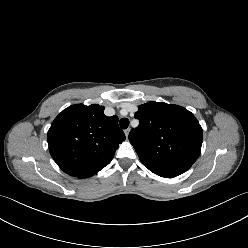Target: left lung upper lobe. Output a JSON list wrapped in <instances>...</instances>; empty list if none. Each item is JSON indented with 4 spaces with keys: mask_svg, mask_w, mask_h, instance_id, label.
<instances>
[{
    "mask_svg": "<svg viewBox=\"0 0 248 248\" xmlns=\"http://www.w3.org/2000/svg\"><path fill=\"white\" fill-rule=\"evenodd\" d=\"M135 118L139 125L130 131V143L143 165L154 174L176 177L199 157L203 132L187 109L151 101L138 107Z\"/></svg>",
    "mask_w": 248,
    "mask_h": 248,
    "instance_id": "obj_1",
    "label": "left lung upper lobe"
}]
</instances>
